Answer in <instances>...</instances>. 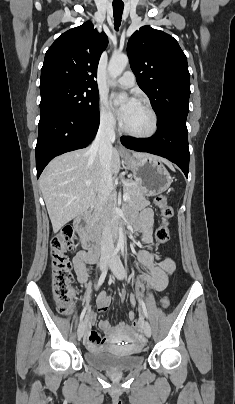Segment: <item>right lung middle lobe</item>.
<instances>
[{
	"mask_svg": "<svg viewBox=\"0 0 235 404\" xmlns=\"http://www.w3.org/2000/svg\"><path fill=\"white\" fill-rule=\"evenodd\" d=\"M40 113L63 111L76 116H89L99 110L97 89L52 82L40 85Z\"/></svg>",
	"mask_w": 235,
	"mask_h": 404,
	"instance_id": "dd1d6c3e",
	"label": "right lung middle lobe"
}]
</instances>
